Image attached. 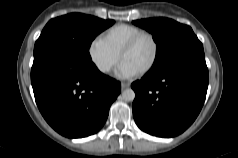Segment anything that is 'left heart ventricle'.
I'll list each match as a JSON object with an SVG mask.
<instances>
[{
    "mask_svg": "<svg viewBox=\"0 0 238 158\" xmlns=\"http://www.w3.org/2000/svg\"><path fill=\"white\" fill-rule=\"evenodd\" d=\"M153 51L154 48L151 40L148 37H144L132 50L124 55L122 61L140 71L152 59Z\"/></svg>",
    "mask_w": 238,
    "mask_h": 158,
    "instance_id": "b2bd125f",
    "label": "left heart ventricle"
}]
</instances>
